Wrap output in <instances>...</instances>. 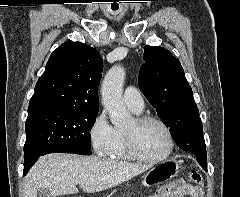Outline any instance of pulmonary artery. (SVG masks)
I'll return each instance as SVG.
<instances>
[{
	"label": "pulmonary artery",
	"instance_id": "obj_1",
	"mask_svg": "<svg viewBox=\"0 0 240 197\" xmlns=\"http://www.w3.org/2000/svg\"><path fill=\"white\" fill-rule=\"evenodd\" d=\"M124 103L133 111L141 112L144 108V100L139 92V90L135 87H127L123 94Z\"/></svg>",
	"mask_w": 240,
	"mask_h": 197
}]
</instances>
